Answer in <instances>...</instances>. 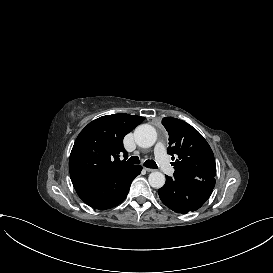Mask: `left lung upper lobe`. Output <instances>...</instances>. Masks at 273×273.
<instances>
[{"label":"left lung upper lobe","instance_id":"left-lung-upper-lobe-1","mask_svg":"<svg viewBox=\"0 0 273 273\" xmlns=\"http://www.w3.org/2000/svg\"><path fill=\"white\" fill-rule=\"evenodd\" d=\"M162 124L169 134L168 153L179 158L173 164L175 172L198 180L214 178V154L204 137L183 120L164 117Z\"/></svg>","mask_w":273,"mask_h":273}]
</instances>
